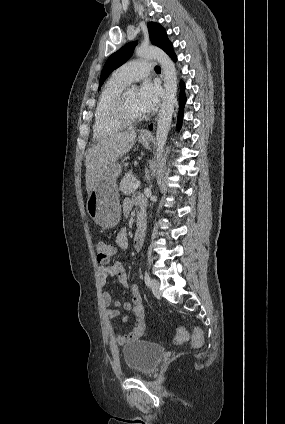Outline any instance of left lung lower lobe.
Returning <instances> with one entry per match:
<instances>
[{
  "mask_svg": "<svg viewBox=\"0 0 285 424\" xmlns=\"http://www.w3.org/2000/svg\"><path fill=\"white\" fill-rule=\"evenodd\" d=\"M174 61H177V57L173 51V46L172 44L170 45V47L165 51ZM180 88H181V92H180V97H179V113H178V123H177V127L178 129L181 127V123H182V110L184 108V104L186 102V97H185V84L183 81L180 82ZM150 130H152V125H150Z\"/></svg>",
  "mask_w": 285,
  "mask_h": 424,
  "instance_id": "left-lung-lower-lobe-1",
  "label": "left lung lower lobe"
}]
</instances>
